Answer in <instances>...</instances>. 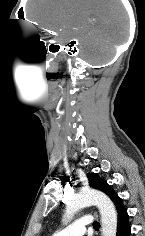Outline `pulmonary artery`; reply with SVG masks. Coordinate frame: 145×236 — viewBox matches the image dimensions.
<instances>
[{
  "instance_id": "e3ab8cb5",
  "label": "pulmonary artery",
  "mask_w": 145,
  "mask_h": 236,
  "mask_svg": "<svg viewBox=\"0 0 145 236\" xmlns=\"http://www.w3.org/2000/svg\"><path fill=\"white\" fill-rule=\"evenodd\" d=\"M91 223L92 217L90 215H85L75 221L73 224L56 232L54 236H83L86 230V225H89Z\"/></svg>"
}]
</instances>
